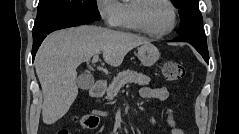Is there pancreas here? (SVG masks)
Listing matches in <instances>:
<instances>
[{
    "label": "pancreas",
    "instance_id": "cf45deb5",
    "mask_svg": "<svg viewBox=\"0 0 239 134\" xmlns=\"http://www.w3.org/2000/svg\"><path fill=\"white\" fill-rule=\"evenodd\" d=\"M151 79L133 70H124L114 77L112 83L107 89V99L112 100L120 91V89L128 83H136L138 85H148Z\"/></svg>",
    "mask_w": 239,
    "mask_h": 134
}]
</instances>
